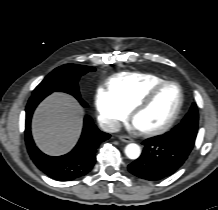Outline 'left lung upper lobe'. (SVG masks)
I'll use <instances>...</instances> for the list:
<instances>
[{
  "label": "left lung upper lobe",
  "mask_w": 218,
  "mask_h": 210,
  "mask_svg": "<svg viewBox=\"0 0 218 210\" xmlns=\"http://www.w3.org/2000/svg\"><path fill=\"white\" fill-rule=\"evenodd\" d=\"M192 132V138L195 140L197 135V128H198V109L196 103H193L191 106L189 112L184 117L182 122L177 125L175 128H173L170 132H167L166 134L169 136L175 135L176 133H180L181 131H178V128H185Z\"/></svg>",
  "instance_id": "obj_1"
}]
</instances>
